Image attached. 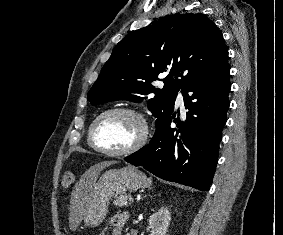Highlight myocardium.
<instances>
[{
  "instance_id": "f54148a6",
  "label": "myocardium",
  "mask_w": 283,
  "mask_h": 235,
  "mask_svg": "<svg viewBox=\"0 0 283 235\" xmlns=\"http://www.w3.org/2000/svg\"><path fill=\"white\" fill-rule=\"evenodd\" d=\"M113 113L130 114V115L134 116L139 121V123L141 125V132H140L137 140L131 146H129L125 149H122V150H117V151H110V150H106L104 148H101L95 142V128H96L97 124L105 116H107L109 114H113ZM148 137H149V126H148L147 120L144 117V115L140 111H138L134 108H131V107H127V106H117V107H112V108L104 110L92 121V123L89 127V132H88V140H89V144L92 146V148H94L96 151H98L101 154H104V155H107V156H112V157L128 156V155L136 153L137 151H139L140 149H142L146 145V143L148 141Z\"/></svg>"
}]
</instances>
